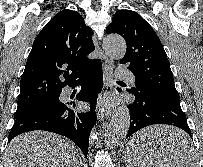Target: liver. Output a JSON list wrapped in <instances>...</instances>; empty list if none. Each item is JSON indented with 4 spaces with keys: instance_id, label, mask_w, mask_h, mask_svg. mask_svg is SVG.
Instances as JSON below:
<instances>
[{
    "instance_id": "6515ba94",
    "label": "liver",
    "mask_w": 203,
    "mask_h": 167,
    "mask_svg": "<svg viewBox=\"0 0 203 167\" xmlns=\"http://www.w3.org/2000/svg\"><path fill=\"white\" fill-rule=\"evenodd\" d=\"M181 130L168 126H154L134 135L128 145L140 146L147 141L157 142L154 147L162 160L173 163L187 158L186 149L178 145L188 142ZM128 147V146H127ZM78 148L68 139L45 131H32L14 138L4 154V167H78Z\"/></svg>"
}]
</instances>
